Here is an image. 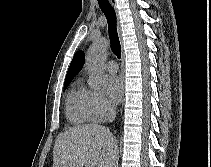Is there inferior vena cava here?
Wrapping results in <instances>:
<instances>
[{"label":"inferior vena cava","instance_id":"inferior-vena-cava-1","mask_svg":"<svg viewBox=\"0 0 211 167\" xmlns=\"http://www.w3.org/2000/svg\"><path fill=\"white\" fill-rule=\"evenodd\" d=\"M108 115H109V121L112 122L116 117V109L115 108H109L108 109Z\"/></svg>","mask_w":211,"mask_h":167}]
</instances>
